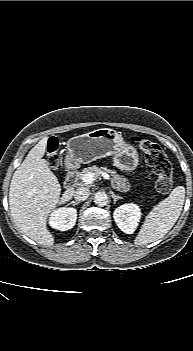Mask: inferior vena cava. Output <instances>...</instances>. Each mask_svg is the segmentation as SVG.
Wrapping results in <instances>:
<instances>
[{"mask_svg": "<svg viewBox=\"0 0 193 351\" xmlns=\"http://www.w3.org/2000/svg\"><path fill=\"white\" fill-rule=\"evenodd\" d=\"M90 195V190L86 187H79L74 192V198L77 201H85Z\"/></svg>", "mask_w": 193, "mask_h": 351, "instance_id": "obj_1", "label": "inferior vena cava"}]
</instances>
